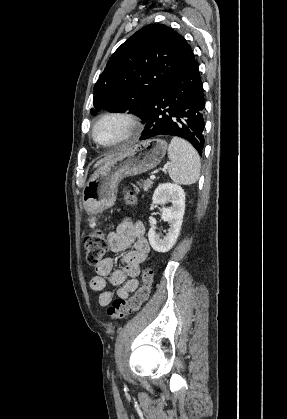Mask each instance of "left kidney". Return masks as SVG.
I'll list each match as a JSON object with an SVG mask.
<instances>
[{"mask_svg": "<svg viewBox=\"0 0 287 419\" xmlns=\"http://www.w3.org/2000/svg\"><path fill=\"white\" fill-rule=\"evenodd\" d=\"M168 202H171L172 206L164 207L161 215L162 220L169 223L166 236L160 238L154 227L148 232L150 245L156 252L169 251L179 236L185 211V192L181 186L172 183L160 184L154 191L150 209L153 210L155 204L164 205Z\"/></svg>", "mask_w": 287, "mask_h": 419, "instance_id": "1", "label": "left kidney"}]
</instances>
